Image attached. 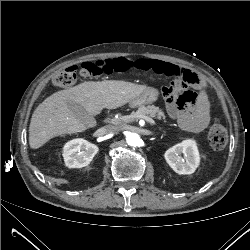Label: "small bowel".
<instances>
[{"instance_id": "small-bowel-1", "label": "small bowel", "mask_w": 250, "mask_h": 250, "mask_svg": "<svg viewBox=\"0 0 250 250\" xmlns=\"http://www.w3.org/2000/svg\"><path fill=\"white\" fill-rule=\"evenodd\" d=\"M132 67L143 70L153 71L167 76H182L184 68L166 61L138 58L133 61ZM201 80V79H200ZM193 86L199 90V98L195 105L187 106L180 98L178 100L171 96V88L164 90L166 97L167 111L171 118L177 119L180 126L190 132H202L210 123V104L205 91L204 83L200 81L198 85L182 84L181 88Z\"/></svg>"}]
</instances>
